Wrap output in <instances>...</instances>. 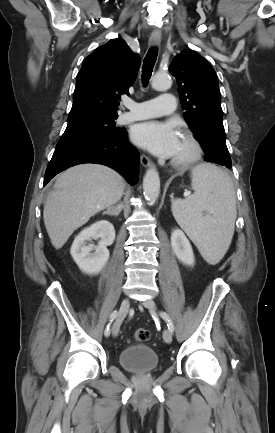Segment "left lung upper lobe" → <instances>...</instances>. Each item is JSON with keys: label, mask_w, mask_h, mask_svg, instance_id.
Wrapping results in <instances>:
<instances>
[{"label": "left lung upper lobe", "mask_w": 275, "mask_h": 433, "mask_svg": "<svg viewBox=\"0 0 275 433\" xmlns=\"http://www.w3.org/2000/svg\"><path fill=\"white\" fill-rule=\"evenodd\" d=\"M169 71L177 80L184 118L202 145L205 160L220 165L230 163L214 69L195 51L184 50L173 59Z\"/></svg>", "instance_id": "1"}]
</instances>
